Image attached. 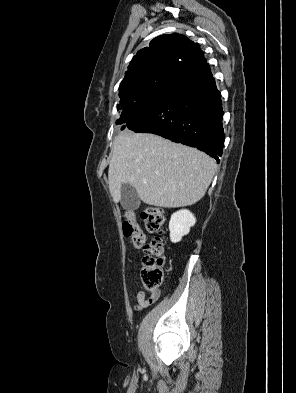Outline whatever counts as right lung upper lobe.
<instances>
[{
  "instance_id": "obj_1",
  "label": "right lung upper lobe",
  "mask_w": 296,
  "mask_h": 393,
  "mask_svg": "<svg viewBox=\"0 0 296 393\" xmlns=\"http://www.w3.org/2000/svg\"><path fill=\"white\" fill-rule=\"evenodd\" d=\"M204 58L197 43L178 33L154 38L149 47L137 52L128 65L119 87L120 102L139 95L143 86L156 77H171L181 67Z\"/></svg>"
}]
</instances>
